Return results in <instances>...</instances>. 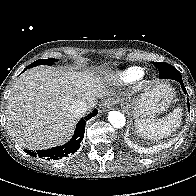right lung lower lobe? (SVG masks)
I'll return each instance as SVG.
<instances>
[{
	"label": "right lung lower lobe",
	"mask_w": 196,
	"mask_h": 196,
	"mask_svg": "<svg viewBox=\"0 0 196 196\" xmlns=\"http://www.w3.org/2000/svg\"><path fill=\"white\" fill-rule=\"evenodd\" d=\"M97 113H98L97 110H93V112L91 114L82 118L78 122L76 129H75V133H74L72 139L68 143H66L62 146L53 147V148L47 149V150H38V151L34 152V151L26 149L24 151L33 157L39 156L40 158H45L47 160H49V159L57 160V159H61L62 157H67L69 154L75 153L80 148V143L83 140L86 121L89 120L90 118L96 116Z\"/></svg>",
	"instance_id": "right-lung-lower-lobe-1"
}]
</instances>
